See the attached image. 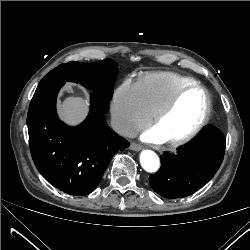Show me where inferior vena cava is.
Listing matches in <instances>:
<instances>
[{"label":"inferior vena cava","instance_id":"602c4592","mask_svg":"<svg viewBox=\"0 0 250 250\" xmlns=\"http://www.w3.org/2000/svg\"><path fill=\"white\" fill-rule=\"evenodd\" d=\"M111 127L119 135L131 138L135 136V131L133 130L131 125L122 119L112 118Z\"/></svg>","mask_w":250,"mask_h":250}]
</instances>
